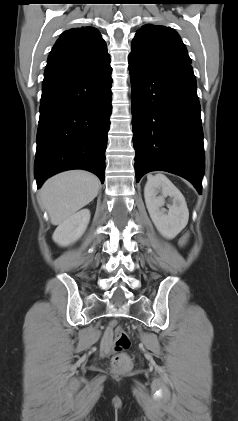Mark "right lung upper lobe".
I'll list each match as a JSON object with an SVG mask.
<instances>
[{
    "mask_svg": "<svg viewBox=\"0 0 238 421\" xmlns=\"http://www.w3.org/2000/svg\"><path fill=\"white\" fill-rule=\"evenodd\" d=\"M110 61L107 46L93 27L70 29L62 33L51 50L48 66Z\"/></svg>",
    "mask_w": 238,
    "mask_h": 421,
    "instance_id": "1",
    "label": "right lung upper lobe"
}]
</instances>
